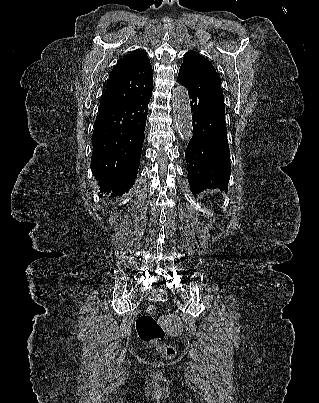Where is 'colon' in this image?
I'll return each instance as SVG.
<instances>
[{
    "label": "colon",
    "mask_w": 319,
    "mask_h": 403,
    "mask_svg": "<svg viewBox=\"0 0 319 403\" xmlns=\"http://www.w3.org/2000/svg\"><path fill=\"white\" fill-rule=\"evenodd\" d=\"M156 308L147 307L144 314L136 320V331L139 338L145 343L156 346L157 352L166 359H172L176 355L174 347L162 342L166 332L163 326L156 320Z\"/></svg>",
    "instance_id": "5ec220e1"
}]
</instances>
